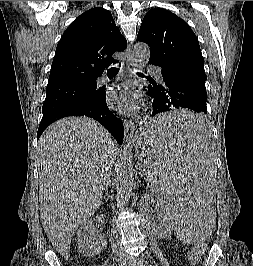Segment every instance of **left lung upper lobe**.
I'll use <instances>...</instances> for the list:
<instances>
[{
    "instance_id": "5c2ea615",
    "label": "left lung upper lobe",
    "mask_w": 253,
    "mask_h": 266,
    "mask_svg": "<svg viewBox=\"0 0 253 266\" xmlns=\"http://www.w3.org/2000/svg\"><path fill=\"white\" fill-rule=\"evenodd\" d=\"M137 38L150 47V59L181 60L204 70L197 37L184 20L168 10H150L143 18Z\"/></svg>"
}]
</instances>
